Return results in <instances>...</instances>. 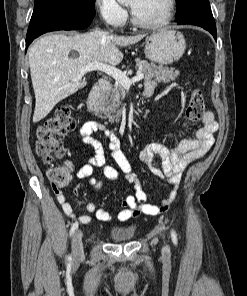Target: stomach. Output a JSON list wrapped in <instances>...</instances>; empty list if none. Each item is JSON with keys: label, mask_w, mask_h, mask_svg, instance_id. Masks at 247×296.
I'll list each match as a JSON object with an SVG mask.
<instances>
[{"label": "stomach", "mask_w": 247, "mask_h": 296, "mask_svg": "<svg viewBox=\"0 0 247 296\" xmlns=\"http://www.w3.org/2000/svg\"><path fill=\"white\" fill-rule=\"evenodd\" d=\"M144 47L147 59L159 65H169L183 56L186 41L182 33L164 29L147 37Z\"/></svg>", "instance_id": "1"}]
</instances>
